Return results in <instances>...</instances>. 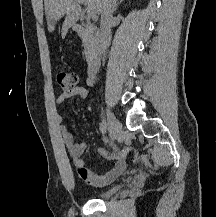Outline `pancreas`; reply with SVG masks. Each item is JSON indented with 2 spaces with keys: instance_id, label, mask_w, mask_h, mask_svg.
Wrapping results in <instances>:
<instances>
[{
  "instance_id": "cf45deb5",
  "label": "pancreas",
  "mask_w": 216,
  "mask_h": 217,
  "mask_svg": "<svg viewBox=\"0 0 216 217\" xmlns=\"http://www.w3.org/2000/svg\"><path fill=\"white\" fill-rule=\"evenodd\" d=\"M81 37L83 40V46L87 49L90 46V43L94 41V28L87 25L82 30Z\"/></svg>"
}]
</instances>
